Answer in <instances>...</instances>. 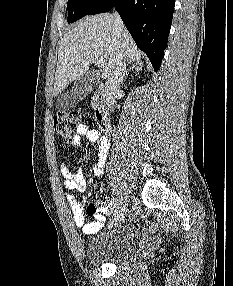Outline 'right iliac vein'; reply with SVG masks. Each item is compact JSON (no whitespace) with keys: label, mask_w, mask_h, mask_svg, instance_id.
I'll return each mask as SVG.
<instances>
[{"label":"right iliac vein","mask_w":233,"mask_h":286,"mask_svg":"<svg viewBox=\"0 0 233 286\" xmlns=\"http://www.w3.org/2000/svg\"><path fill=\"white\" fill-rule=\"evenodd\" d=\"M125 211H126V201L125 200L123 201L122 199L114 213V217L112 219L111 224L119 223L123 219Z\"/></svg>","instance_id":"1"}]
</instances>
